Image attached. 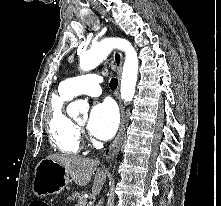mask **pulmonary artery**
<instances>
[{"label": "pulmonary artery", "instance_id": "pulmonary-artery-1", "mask_svg": "<svg viewBox=\"0 0 221 206\" xmlns=\"http://www.w3.org/2000/svg\"><path fill=\"white\" fill-rule=\"evenodd\" d=\"M103 82V77L94 73H88L67 79L63 81L61 85L64 91L72 97L81 94L99 96L102 92L100 85Z\"/></svg>", "mask_w": 221, "mask_h": 206}]
</instances>
